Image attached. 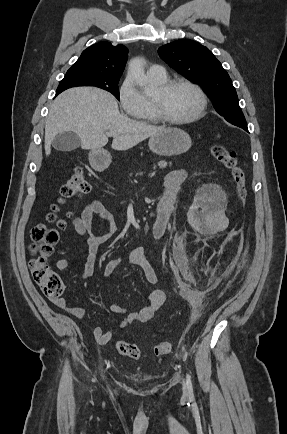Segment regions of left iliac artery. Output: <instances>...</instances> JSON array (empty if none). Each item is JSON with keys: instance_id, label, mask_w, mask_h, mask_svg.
<instances>
[{"instance_id": "44dca946", "label": "left iliac artery", "mask_w": 287, "mask_h": 434, "mask_svg": "<svg viewBox=\"0 0 287 434\" xmlns=\"http://www.w3.org/2000/svg\"><path fill=\"white\" fill-rule=\"evenodd\" d=\"M186 385H187V389L189 394L193 393V387H192V382H191V376L187 373L186 375Z\"/></svg>"}]
</instances>
